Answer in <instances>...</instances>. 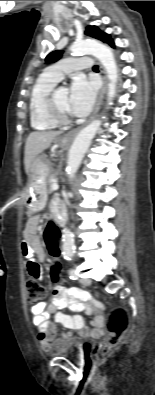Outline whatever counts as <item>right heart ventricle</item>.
Listing matches in <instances>:
<instances>
[{
	"instance_id": "obj_1",
	"label": "right heart ventricle",
	"mask_w": 155,
	"mask_h": 395,
	"mask_svg": "<svg viewBox=\"0 0 155 395\" xmlns=\"http://www.w3.org/2000/svg\"><path fill=\"white\" fill-rule=\"evenodd\" d=\"M57 81L47 73L42 74L31 89L29 98L30 124L35 130H50L57 126L45 111V99L48 93L56 86Z\"/></svg>"
}]
</instances>
